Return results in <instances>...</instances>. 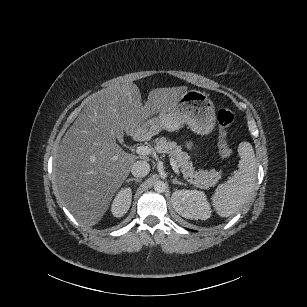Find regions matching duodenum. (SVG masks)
Wrapping results in <instances>:
<instances>
[{"instance_id":"1","label":"duodenum","mask_w":307,"mask_h":307,"mask_svg":"<svg viewBox=\"0 0 307 307\" xmlns=\"http://www.w3.org/2000/svg\"><path fill=\"white\" fill-rule=\"evenodd\" d=\"M134 140L138 141V142H143L145 140H147L148 135L146 132L143 131H138L135 135H134Z\"/></svg>"}]
</instances>
